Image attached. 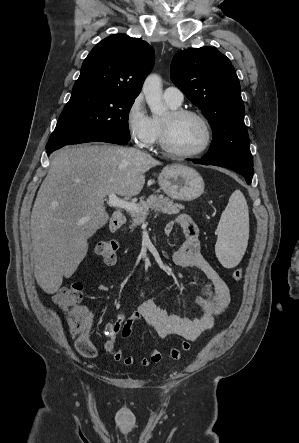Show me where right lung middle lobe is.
Masks as SVG:
<instances>
[{"label":"right lung middle lobe","instance_id":"obj_1","mask_svg":"<svg viewBox=\"0 0 299 443\" xmlns=\"http://www.w3.org/2000/svg\"><path fill=\"white\" fill-rule=\"evenodd\" d=\"M135 97L102 90H75L48 143L68 142L97 134L130 140L128 115Z\"/></svg>","mask_w":299,"mask_h":443}]
</instances>
